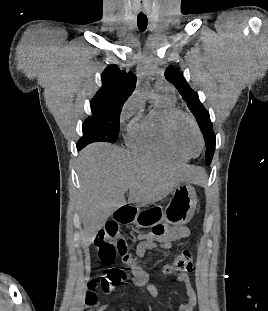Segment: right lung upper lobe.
Masks as SVG:
<instances>
[{
    "mask_svg": "<svg viewBox=\"0 0 268 311\" xmlns=\"http://www.w3.org/2000/svg\"><path fill=\"white\" fill-rule=\"evenodd\" d=\"M101 79L102 87L91 101L122 108L135 89L136 76L112 64L104 70Z\"/></svg>",
    "mask_w": 268,
    "mask_h": 311,
    "instance_id": "cb5924a9",
    "label": "right lung upper lobe"
}]
</instances>
